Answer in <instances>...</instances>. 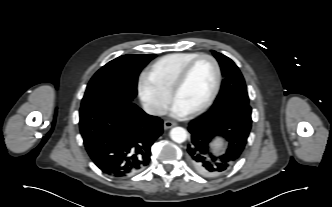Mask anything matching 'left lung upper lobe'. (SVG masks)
I'll use <instances>...</instances> for the list:
<instances>
[{
	"instance_id": "obj_1",
	"label": "left lung upper lobe",
	"mask_w": 332,
	"mask_h": 207,
	"mask_svg": "<svg viewBox=\"0 0 332 207\" xmlns=\"http://www.w3.org/2000/svg\"><path fill=\"white\" fill-rule=\"evenodd\" d=\"M218 60L222 74L223 82L219 95L217 96L213 108L229 103H249L247 88L244 78L235 63L227 56L213 51Z\"/></svg>"
}]
</instances>
